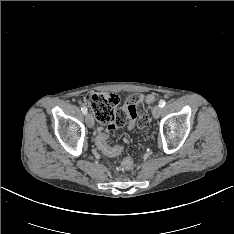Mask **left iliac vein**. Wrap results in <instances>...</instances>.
Wrapping results in <instances>:
<instances>
[{"label":"left iliac vein","instance_id":"obj_1","mask_svg":"<svg viewBox=\"0 0 234 234\" xmlns=\"http://www.w3.org/2000/svg\"><path fill=\"white\" fill-rule=\"evenodd\" d=\"M161 113H162L161 107L159 105H155L153 110H152V114H153L154 118H156V119L159 118Z\"/></svg>","mask_w":234,"mask_h":234}]
</instances>
